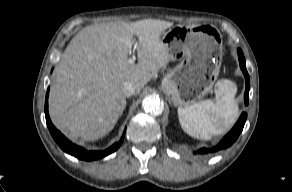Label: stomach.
Wrapping results in <instances>:
<instances>
[{"instance_id": "stomach-1", "label": "stomach", "mask_w": 292, "mask_h": 192, "mask_svg": "<svg viewBox=\"0 0 292 192\" xmlns=\"http://www.w3.org/2000/svg\"><path fill=\"white\" fill-rule=\"evenodd\" d=\"M171 60L179 64L162 80V90L173 105L186 107L208 94L222 59V36L210 25L175 26L162 34Z\"/></svg>"}]
</instances>
